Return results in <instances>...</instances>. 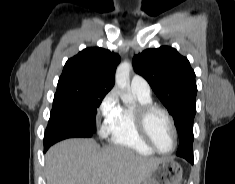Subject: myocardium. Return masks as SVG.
<instances>
[{
	"mask_svg": "<svg viewBox=\"0 0 235 184\" xmlns=\"http://www.w3.org/2000/svg\"><path fill=\"white\" fill-rule=\"evenodd\" d=\"M155 111H159L165 115L172 129L175 143L170 153H164L161 150H159L152 138L149 127V119ZM134 117L138 132L145 139V141L148 143V145L150 146V148L153 150L154 153L160 156H170L175 153L178 147V132L173 116L165 107L158 104L139 105L138 108L134 111Z\"/></svg>",
	"mask_w": 235,
	"mask_h": 184,
	"instance_id": "f54148a6",
	"label": "myocardium"
}]
</instances>
